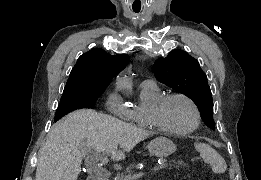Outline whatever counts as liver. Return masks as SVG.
Returning <instances> with one entry per match:
<instances>
[{
  "label": "liver",
  "instance_id": "6515ba94",
  "mask_svg": "<svg viewBox=\"0 0 261 180\" xmlns=\"http://www.w3.org/2000/svg\"><path fill=\"white\" fill-rule=\"evenodd\" d=\"M152 134L96 110H76L51 128L39 152L36 180H77L84 158L96 162L98 152H110L112 160H124Z\"/></svg>",
  "mask_w": 261,
  "mask_h": 180
}]
</instances>
